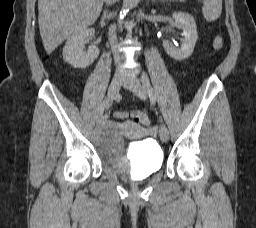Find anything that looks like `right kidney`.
Listing matches in <instances>:
<instances>
[{"label":"right kidney","mask_w":256,"mask_h":228,"mask_svg":"<svg viewBox=\"0 0 256 228\" xmlns=\"http://www.w3.org/2000/svg\"><path fill=\"white\" fill-rule=\"evenodd\" d=\"M95 34L94 29H84L71 35L63 49V58L75 68H86L98 57L99 49L92 45L87 51H83L84 41Z\"/></svg>","instance_id":"right-kidney-1"}]
</instances>
